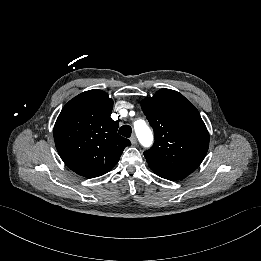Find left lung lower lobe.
Returning a JSON list of instances; mask_svg holds the SVG:
<instances>
[{"mask_svg": "<svg viewBox=\"0 0 261 261\" xmlns=\"http://www.w3.org/2000/svg\"><path fill=\"white\" fill-rule=\"evenodd\" d=\"M151 170L158 176L168 179V180H180V179L184 178V176H181V175H178V174H175L172 172L162 171V170L155 169V168H151Z\"/></svg>", "mask_w": 261, "mask_h": 261, "instance_id": "obj_1", "label": "left lung lower lobe"}]
</instances>
